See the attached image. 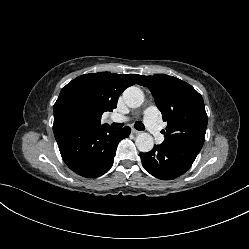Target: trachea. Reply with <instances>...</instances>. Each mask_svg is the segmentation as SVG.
I'll use <instances>...</instances> for the list:
<instances>
[{
  "mask_svg": "<svg viewBox=\"0 0 249 249\" xmlns=\"http://www.w3.org/2000/svg\"><path fill=\"white\" fill-rule=\"evenodd\" d=\"M111 126L115 129H119V128H122L123 124L121 123H112ZM134 127L137 129V130H145V127H144V124L141 122V121H137L134 125Z\"/></svg>",
  "mask_w": 249,
  "mask_h": 249,
  "instance_id": "trachea-1",
  "label": "trachea"
}]
</instances>
